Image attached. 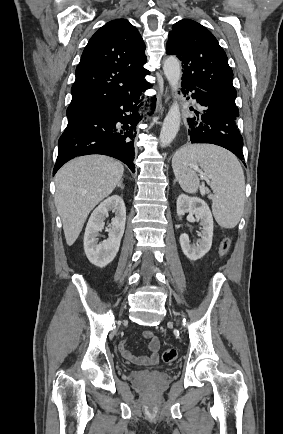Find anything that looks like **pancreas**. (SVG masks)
Returning <instances> with one entry per match:
<instances>
[{
    "instance_id": "obj_1",
    "label": "pancreas",
    "mask_w": 283,
    "mask_h": 434,
    "mask_svg": "<svg viewBox=\"0 0 283 434\" xmlns=\"http://www.w3.org/2000/svg\"><path fill=\"white\" fill-rule=\"evenodd\" d=\"M202 193H203V194H209L210 191H209L208 189L205 188V189L202 190Z\"/></svg>"
}]
</instances>
